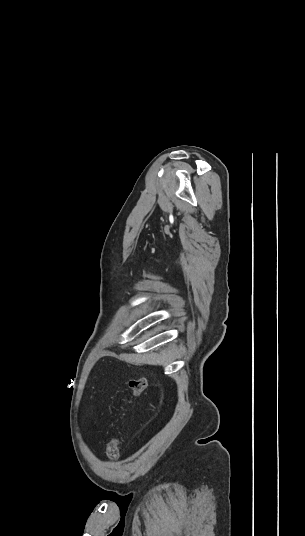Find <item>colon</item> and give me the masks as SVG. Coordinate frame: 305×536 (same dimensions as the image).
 Masks as SVG:
<instances>
[{"instance_id": "1", "label": "colon", "mask_w": 305, "mask_h": 536, "mask_svg": "<svg viewBox=\"0 0 305 536\" xmlns=\"http://www.w3.org/2000/svg\"><path fill=\"white\" fill-rule=\"evenodd\" d=\"M129 387L131 395L134 397H139L143 395L147 389V381L145 378H132L129 381ZM120 445V435L116 434L114 438H112L108 444V455L111 459H114L119 450Z\"/></svg>"}]
</instances>
